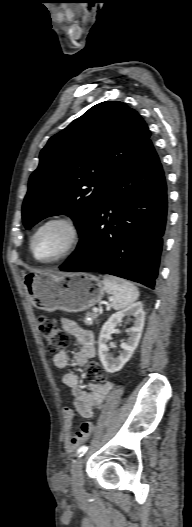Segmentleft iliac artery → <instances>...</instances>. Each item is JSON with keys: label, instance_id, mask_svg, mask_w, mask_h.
<instances>
[{"label": "left iliac artery", "instance_id": "obj_1", "mask_svg": "<svg viewBox=\"0 0 192 527\" xmlns=\"http://www.w3.org/2000/svg\"><path fill=\"white\" fill-rule=\"evenodd\" d=\"M87 451V446H81L78 450H77V455L79 457L83 456L85 454V452Z\"/></svg>", "mask_w": 192, "mask_h": 527}]
</instances>
